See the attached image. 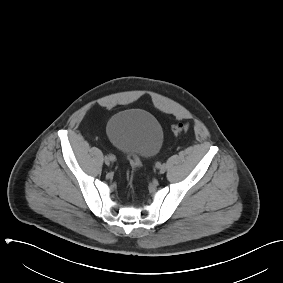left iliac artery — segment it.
Instances as JSON below:
<instances>
[{"mask_svg":"<svg viewBox=\"0 0 283 283\" xmlns=\"http://www.w3.org/2000/svg\"><path fill=\"white\" fill-rule=\"evenodd\" d=\"M160 165H161L160 162H157V163H156V166H157V167H159ZM163 165H164V164H163Z\"/></svg>","mask_w":283,"mask_h":283,"instance_id":"44dca946","label":"left iliac artery"}]
</instances>
